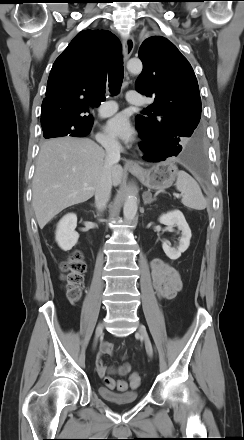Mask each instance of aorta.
<instances>
[{
  "label": "aorta",
  "instance_id": "762f6f07",
  "mask_svg": "<svg viewBox=\"0 0 244 440\" xmlns=\"http://www.w3.org/2000/svg\"><path fill=\"white\" fill-rule=\"evenodd\" d=\"M142 62L138 59H131L127 63V69L133 74H139L142 71ZM137 198L134 194H128L124 207L123 214L126 220H133L137 213Z\"/></svg>",
  "mask_w": 244,
  "mask_h": 440
}]
</instances>
